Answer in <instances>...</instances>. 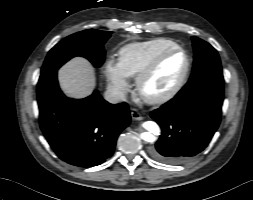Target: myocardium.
<instances>
[{"instance_id":"f54148a6","label":"myocardium","mask_w":253,"mask_h":200,"mask_svg":"<svg viewBox=\"0 0 253 200\" xmlns=\"http://www.w3.org/2000/svg\"><path fill=\"white\" fill-rule=\"evenodd\" d=\"M182 53L185 56L186 64L185 68L179 77V79L176 81V83L166 92L151 96L145 93L144 91V85L148 78L155 72V70L158 68L160 63L166 58L167 56L173 54V53ZM191 69V59L189 54L185 49H183L180 46H176L173 48L166 49L162 52H160L158 55H156L153 60L137 75L136 77V90L139 94V96L148 104H162L167 102L168 100L172 99L183 87L185 84L188 75L190 73Z\"/></svg>"}]
</instances>
